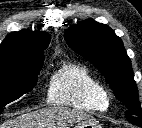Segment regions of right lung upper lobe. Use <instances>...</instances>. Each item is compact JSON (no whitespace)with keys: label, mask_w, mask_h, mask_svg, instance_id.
Returning a JSON list of instances; mask_svg holds the SVG:
<instances>
[{"label":"right lung upper lobe","mask_w":142,"mask_h":128,"mask_svg":"<svg viewBox=\"0 0 142 128\" xmlns=\"http://www.w3.org/2000/svg\"><path fill=\"white\" fill-rule=\"evenodd\" d=\"M49 43L46 32L21 30L9 34L0 45V77H14L33 62L44 60Z\"/></svg>","instance_id":"obj_1"}]
</instances>
